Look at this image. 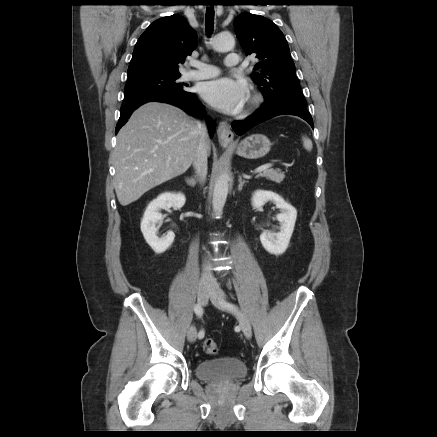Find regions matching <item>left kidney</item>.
I'll use <instances>...</instances> for the list:
<instances>
[{"instance_id": "left-kidney-1", "label": "left kidney", "mask_w": 437, "mask_h": 437, "mask_svg": "<svg viewBox=\"0 0 437 437\" xmlns=\"http://www.w3.org/2000/svg\"><path fill=\"white\" fill-rule=\"evenodd\" d=\"M252 206L254 208H261L265 203L271 201L281 213L276 216L280 222V232L273 233L270 231H264L260 235V241L265 248L271 254L280 255L288 248L290 238L292 236L295 221L297 218L296 209L285 202V200L278 194L267 190H256L252 195Z\"/></svg>"}]
</instances>
